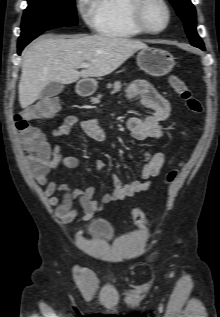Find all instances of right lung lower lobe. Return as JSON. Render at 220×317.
Listing matches in <instances>:
<instances>
[{
	"label": "right lung lower lobe",
	"mask_w": 220,
	"mask_h": 317,
	"mask_svg": "<svg viewBox=\"0 0 220 317\" xmlns=\"http://www.w3.org/2000/svg\"><path fill=\"white\" fill-rule=\"evenodd\" d=\"M40 34H41V33H40ZM40 34H37V35H35L34 37H32V38H30V39H28V40L18 42V54L21 53L22 49H23L29 42H31L34 38H36V37H37L38 35H40Z\"/></svg>",
	"instance_id": "right-lung-lower-lobe-1"
}]
</instances>
